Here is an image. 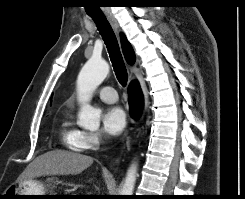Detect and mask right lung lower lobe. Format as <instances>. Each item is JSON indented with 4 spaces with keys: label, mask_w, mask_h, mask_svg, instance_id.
<instances>
[{
    "label": "right lung lower lobe",
    "mask_w": 245,
    "mask_h": 199,
    "mask_svg": "<svg viewBox=\"0 0 245 199\" xmlns=\"http://www.w3.org/2000/svg\"><path fill=\"white\" fill-rule=\"evenodd\" d=\"M142 101L143 97L141 91L138 89V85L136 83H131L129 87V104L131 115L134 118H137L140 114Z\"/></svg>",
    "instance_id": "obj_1"
}]
</instances>
